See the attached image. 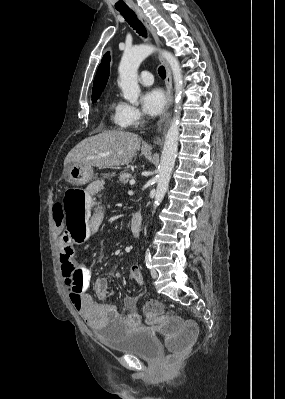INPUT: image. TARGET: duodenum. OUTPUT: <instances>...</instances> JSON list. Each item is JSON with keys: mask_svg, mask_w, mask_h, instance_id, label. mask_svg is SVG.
<instances>
[{"mask_svg": "<svg viewBox=\"0 0 285 399\" xmlns=\"http://www.w3.org/2000/svg\"><path fill=\"white\" fill-rule=\"evenodd\" d=\"M131 232L133 237L137 240L140 238L141 230H142V216L139 211H136L133 214L131 223H130Z\"/></svg>", "mask_w": 285, "mask_h": 399, "instance_id": "410a0bca", "label": "duodenum"}]
</instances>
